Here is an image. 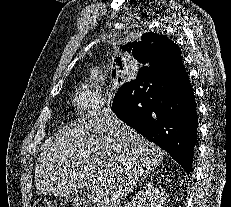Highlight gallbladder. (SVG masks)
Wrapping results in <instances>:
<instances>
[{"label":"gallbladder","mask_w":231,"mask_h":207,"mask_svg":"<svg viewBox=\"0 0 231 207\" xmlns=\"http://www.w3.org/2000/svg\"><path fill=\"white\" fill-rule=\"evenodd\" d=\"M71 202H73L76 205H82L85 207H91V202L88 198V194L86 192H83L82 190H78L71 194L70 196Z\"/></svg>","instance_id":"bac80fb5"}]
</instances>
